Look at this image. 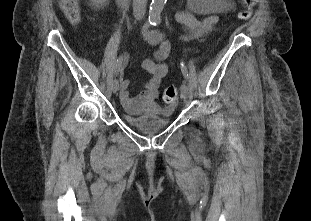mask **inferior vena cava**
Instances as JSON below:
<instances>
[{
  "label": "inferior vena cava",
  "instance_id": "602c4592",
  "mask_svg": "<svg viewBox=\"0 0 311 221\" xmlns=\"http://www.w3.org/2000/svg\"><path fill=\"white\" fill-rule=\"evenodd\" d=\"M147 0H133L134 16H144L146 12Z\"/></svg>",
  "mask_w": 311,
  "mask_h": 221
}]
</instances>
